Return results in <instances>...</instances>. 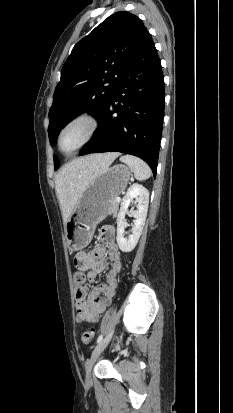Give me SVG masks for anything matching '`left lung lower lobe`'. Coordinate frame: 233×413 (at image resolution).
<instances>
[{"label":"left lung lower lobe","mask_w":233,"mask_h":413,"mask_svg":"<svg viewBox=\"0 0 233 413\" xmlns=\"http://www.w3.org/2000/svg\"><path fill=\"white\" fill-rule=\"evenodd\" d=\"M164 77L150 33L120 75L95 136L80 155L123 152L143 159L156 176L164 118Z\"/></svg>","instance_id":"1"}]
</instances>
